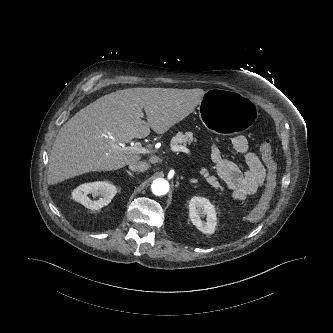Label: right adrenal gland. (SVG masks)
Wrapping results in <instances>:
<instances>
[{"label":"right adrenal gland","mask_w":333,"mask_h":333,"mask_svg":"<svg viewBox=\"0 0 333 333\" xmlns=\"http://www.w3.org/2000/svg\"><path fill=\"white\" fill-rule=\"evenodd\" d=\"M126 172L128 173V175H130L131 177H133V173H131L129 170H126Z\"/></svg>","instance_id":"right-adrenal-gland-1"}]
</instances>
